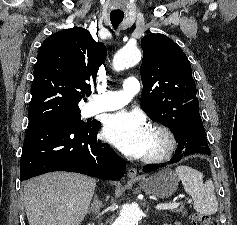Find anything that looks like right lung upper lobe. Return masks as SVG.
<instances>
[{"label":"right lung upper lobe","instance_id":"right-lung-upper-lobe-1","mask_svg":"<svg viewBox=\"0 0 237 225\" xmlns=\"http://www.w3.org/2000/svg\"><path fill=\"white\" fill-rule=\"evenodd\" d=\"M107 50L82 27L64 29L42 44L34 68L29 122L80 111L78 102L91 94Z\"/></svg>","mask_w":237,"mask_h":225}]
</instances>
